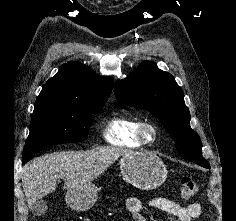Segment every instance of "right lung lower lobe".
Here are the masks:
<instances>
[{"label":"right lung lower lobe","instance_id":"right-lung-lower-lobe-1","mask_svg":"<svg viewBox=\"0 0 236 221\" xmlns=\"http://www.w3.org/2000/svg\"><path fill=\"white\" fill-rule=\"evenodd\" d=\"M30 159H32V155L27 156V157H23V163L28 162Z\"/></svg>","mask_w":236,"mask_h":221}]
</instances>
